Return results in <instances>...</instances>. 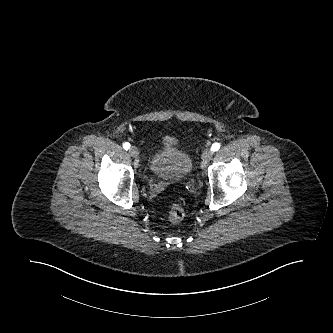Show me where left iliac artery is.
<instances>
[{
	"label": "left iliac artery",
	"instance_id": "left-iliac-artery-1",
	"mask_svg": "<svg viewBox=\"0 0 333 333\" xmlns=\"http://www.w3.org/2000/svg\"><path fill=\"white\" fill-rule=\"evenodd\" d=\"M220 146L221 145L218 142L213 143V145L211 146V151L215 152V151L219 150Z\"/></svg>",
	"mask_w": 333,
	"mask_h": 333
}]
</instances>
